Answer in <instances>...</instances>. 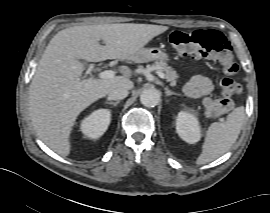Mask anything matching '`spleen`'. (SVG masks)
I'll return each mask as SVG.
<instances>
[{"label":"spleen","mask_w":270,"mask_h":213,"mask_svg":"<svg viewBox=\"0 0 270 213\" xmlns=\"http://www.w3.org/2000/svg\"><path fill=\"white\" fill-rule=\"evenodd\" d=\"M245 119V108H235L228 114L225 122H215L207 130L202 152L196 164L209 163L226 153L237 140Z\"/></svg>","instance_id":"1"}]
</instances>
